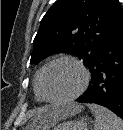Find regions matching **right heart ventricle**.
<instances>
[{"label": "right heart ventricle", "mask_w": 123, "mask_h": 130, "mask_svg": "<svg viewBox=\"0 0 123 130\" xmlns=\"http://www.w3.org/2000/svg\"><path fill=\"white\" fill-rule=\"evenodd\" d=\"M43 67L39 68L35 74L34 77V92H35V96L36 99L38 101H44L41 94H40V89H39V78H40V73Z\"/></svg>", "instance_id": "obj_1"}]
</instances>
